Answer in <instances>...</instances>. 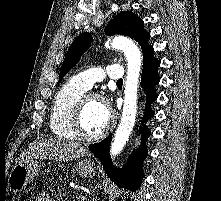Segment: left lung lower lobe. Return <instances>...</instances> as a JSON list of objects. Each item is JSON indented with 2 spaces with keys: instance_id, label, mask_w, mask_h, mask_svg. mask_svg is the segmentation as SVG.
I'll return each instance as SVG.
<instances>
[{
  "instance_id": "left-lung-lower-lobe-1",
  "label": "left lung lower lobe",
  "mask_w": 221,
  "mask_h": 201,
  "mask_svg": "<svg viewBox=\"0 0 221 201\" xmlns=\"http://www.w3.org/2000/svg\"><path fill=\"white\" fill-rule=\"evenodd\" d=\"M159 66L160 61L156 58L150 59L145 65H143L141 86L147 97L144 117L145 121L149 120L154 115V112L151 110V103L157 99L154 87L160 81V77L157 74ZM141 131L142 144L140 148L130 155L128 161L121 170L114 168L110 160L109 144L111 137L106 138L100 143L89 146L91 152H93L101 161L108 177L119 187L131 191L139 189L141 180L144 177L142 165L148 153L145 142L150 135V130L147 127H144Z\"/></svg>"
}]
</instances>
